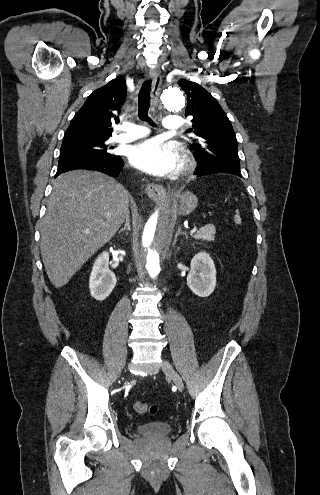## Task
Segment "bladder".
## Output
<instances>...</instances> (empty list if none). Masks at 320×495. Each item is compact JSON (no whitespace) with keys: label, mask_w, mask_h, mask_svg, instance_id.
I'll return each instance as SVG.
<instances>
[{"label":"bladder","mask_w":320,"mask_h":495,"mask_svg":"<svg viewBox=\"0 0 320 495\" xmlns=\"http://www.w3.org/2000/svg\"><path fill=\"white\" fill-rule=\"evenodd\" d=\"M142 436L163 437L172 433L173 427L164 421H152L139 424L136 428Z\"/></svg>","instance_id":"bladder-1"}]
</instances>
